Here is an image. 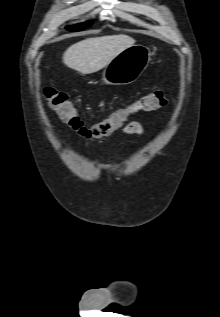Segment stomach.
Returning a JSON list of instances; mask_svg holds the SVG:
<instances>
[{
  "mask_svg": "<svg viewBox=\"0 0 220 317\" xmlns=\"http://www.w3.org/2000/svg\"><path fill=\"white\" fill-rule=\"evenodd\" d=\"M151 60L149 48L133 45L119 53L103 71L102 80L110 85H127L135 82Z\"/></svg>",
  "mask_w": 220,
  "mask_h": 317,
  "instance_id": "0dacf381",
  "label": "stomach"
}]
</instances>
